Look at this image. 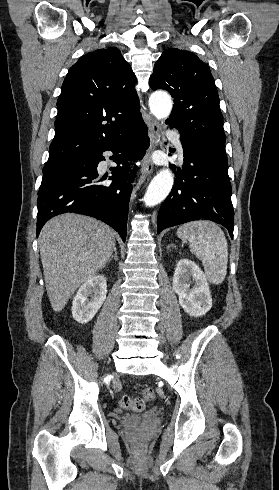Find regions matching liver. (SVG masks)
<instances>
[{
  "instance_id": "obj_1",
  "label": "liver",
  "mask_w": 279,
  "mask_h": 490,
  "mask_svg": "<svg viewBox=\"0 0 279 490\" xmlns=\"http://www.w3.org/2000/svg\"><path fill=\"white\" fill-rule=\"evenodd\" d=\"M115 232L88 216L61 214L43 226L39 248L45 288L54 312H61L77 288L105 268Z\"/></svg>"
}]
</instances>
